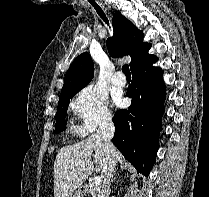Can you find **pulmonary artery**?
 I'll return each mask as SVG.
<instances>
[{
  "instance_id": "pulmonary-artery-1",
  "label": "pulmonary artery",
  "mask_w": 209,
  "mask_h": 197,
  "mask_svg": "<svg viewBox=\"0 0 209 197\" xmlns=\"http://www.w3.org/2000/svg\"><path fill=\"white\" fill-rule=\"evenodd\" d=\"M112 83L117 87H123L126 84V78L122 72H116L112 78Z\"/></svg>"
}]
</instances>
